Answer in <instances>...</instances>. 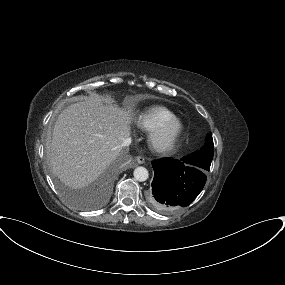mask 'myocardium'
<instances>
[{
    "instance_id": "1",
    "label": "myocardium",
    "mask_w": 285,
    "mask_h": 285,
    "mask_svg": "<svg viewBox=\"0 0 285 285\" xmlns=\"http://www.w3.org/2000/svg\"><path fill=\"white\" fill-rule=\"evenodd\" d=\"M182 132V123L178 119H172L151 131L149 143L157 152H168L177 143Z\"/></svg>"
}]
</instances>
